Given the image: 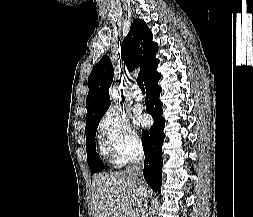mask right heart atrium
<instances>
[{"mask_svg": "<svg viewBox=\"0 0 253 217\" xmlns=\"http://www.w3.org/2000/svg\"><path fill=\"white\" fill-rule=\"evenodd\" d=\"M98 130L119 163L125 162L141 145V139L124 112L111 108L101 118Z\"/></svg>", "mask_w": 253, "mask_h": 217, "instance_id": "d8ad5b80", "label": "right heart atrium"}]
</instances>
